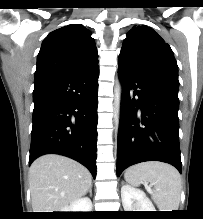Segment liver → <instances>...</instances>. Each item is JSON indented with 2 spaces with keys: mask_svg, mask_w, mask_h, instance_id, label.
Here are the masks:
<instances>
[{
  "mask_svg": "<svg viewBox=\"0 0 203 219\" xmlns=\"http://www.w3.org/2000/svg\"><path fill=\"white\" fill-rule=\"evenodd\" d=\"M91 184L92 176L82 164L57 154L43 155L29 169L33 212H61Z\"/></svg>",
  "mask_w": 203,
  "mask_h": 219,
  "instance_id": "6515ba94",
  "label": "liver"
}]
</instances>
